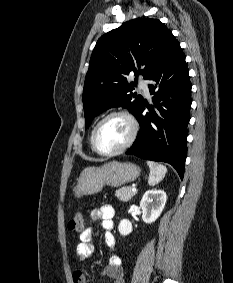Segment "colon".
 Listing matches in <instances>:
<instances>
[{"mask_svg": "<svg viewBox=\"0 0 233 283\" xmlns=\"http://www.w3.org/2000/svg\"><path fill=\"white\" fill-rule=\"evenodd\" d=\"M84 215L77 212L68 224V229L73 232H81L84 228Z\"/></svg>", "mask_w": 233, "mask_h": 283, "instance_id": "colon-1", "label": "colon"}]
</instances>
